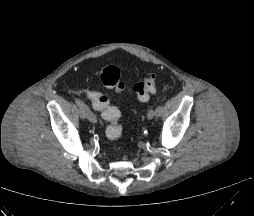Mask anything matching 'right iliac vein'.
<instances>
[{"mask_svg": "<svg viewBox=\"0 0 254 216\" xmlns=\"http://www.w3.org/2000/svg\"><path fill=\"white\" fill-rule=\"evenodd\" d=\"M78 114L82 120H85L88 118L86 112L81 108L78 109Z\"/></svg>", "mask_w": 254, "mask_h": 216, "instance_id": "obj_1", "label": "right iliac vein"}]
</instances>
